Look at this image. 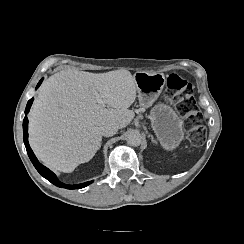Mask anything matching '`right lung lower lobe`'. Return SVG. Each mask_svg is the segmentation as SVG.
I'll return each mask as SVG.
<instances>
[{
  "mask_svg": "<svg viewBox=\"0 0 244 244\" xmlns=\"http://www.w3.org/2000/svg\"><path fill=\"white\" fill-rule=\"evenodd\" d=\"M43 79H41L39 81V83L37 84L36 88H38L40 86V84L42 83ZM34 98L30 99L27 103L26 109H25V113L27 114L30 110V107L33 103ZM23 135H24V144L28 153V156L31 160V162L33 163L34 167L37 169V171L47 180H49L51 183H53L54 185L58 186V187H63L66 189H80L83 187H86L87 185L91 184L93 181H89V182H85L82 184H77V185H67L64 183H61L55 176V174L50 171L48 168H46L45 166H43L41 163H39V161L37 160L36 156L34 155L32 149L29 146L28 143V119L27 116L24 117L23 120Z\"/></svg>",
  "mask_w": 244,
  "mask_h": 244,
  "instance_id": "right-lung-lower-lobe-1",
  "label": "right lung lower lobe"
}]
</instances>
